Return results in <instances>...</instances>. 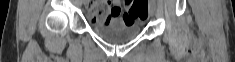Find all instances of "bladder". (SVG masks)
Wrapping results in <instances>:
<instances>
[{
	"instance_id": "bladder-1",
	"label": "bladder",
	"mask_w": 235,
	"mask_h": 62,
	"mask_svg": "<svg viewBox=\"0 0 235 62\" xmlns=\"http://www.w3.org/2000/svg\"><path fill=\"white\" fill-rule=\"evenodd\" d=\"M93 32L110 43H123L130 41L138 36L141 26L138 21L133 23L116 22L112 25L93 24L91 26Z\"/></svg>"
}]
</instances>
